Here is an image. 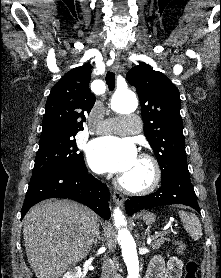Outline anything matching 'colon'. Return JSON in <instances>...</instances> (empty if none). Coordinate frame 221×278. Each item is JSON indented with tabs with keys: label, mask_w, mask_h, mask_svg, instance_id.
Returning a JSON list of instances; mask_svg holds the SVG:
<instances>
[{
	"label": "colon",
	"mask_w": 221,
	"mask_h": 278,
	"mask_svg": "<svg viewBox=\"0 0 221 278\" xmlns=\"http://www.w3.org/2000/svg\"><path fill=\"white\" fill-rule=\"evenodd\" d=\"M173 245L179 254H184L186 246L181 240H174ZM198 265L194 260H188L185 265L184 278H197Z\"/></svg>",
	"instance_id": "5ec220e1"
}]
</instances>
